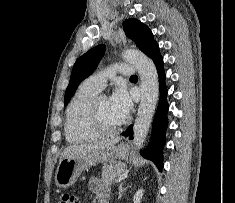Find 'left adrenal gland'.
I'll list each match as a JSON object with an SVG mask.
<instances>
[{"label": "left adrenal gland", "mask_w": 235, "mask_h": 203, "mask_svg": "<svg viewBox=\"0 0 235 203\" xmlns=\"http://www.w3.org/2000/svg\"><path fill=\"white\" fill-rule=\"evenodd\" d=\"M128 187H130V186H127L126 188H123V183L120 184V186H119V192H118V199L121 198L122 194L124 193L125 190H127Z\"/></svg>", "instance_id": "a2214340"}]
</instances>
